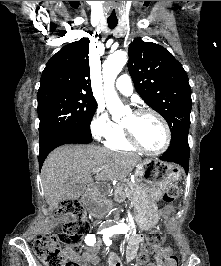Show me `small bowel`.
<instances>
[{"instance_id":"c3829d8e","label":"small bowel","mask_w":221,"mask_h":266,"mask_svg":"<svg viewBox=\"0 0 221 266\" xmlns=\"http://www.w3.org/2000/svg\"><path fill=\"white\" fill-rule=\"evenodd\" d=\"M172 208L167 207L164 209V213H171ZM61 220L65 221L66 218ZM143 242V235L139 233H132L129 235L126 244L125 257L127 263H131L137 256V252ZM89 246V245H88ZM100 247V240L96 245L88 247L82 255L77 253H69L68 259L74 261L77 266H90V264H96L98 262L97 253ZM173 254V251L169 247L159 248L155 251L154 261L149 266H166L168 257ZM107 266H123L120 259L114 253L107 255Z\"/></svg>"}]
</instances>
